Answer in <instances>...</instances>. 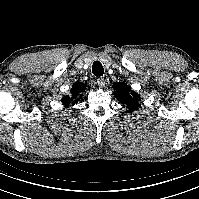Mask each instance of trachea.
I'll return each instance as SVG.
<instances>
[{"label":"trachea","instance_id":"3493384b","mask_svg":"<svg viewBox=\"0 0 199 199\" xmlns=\"http://www.w3.org/2000/svg\"><path fill=\"white\" fill-rule=\"evenodd\" d=\"M92 73L95 76H102L104 74V68L99 61H95L92 65Z\"/></svg>","mask_w":199,"mask_h":199}]
</instances>
